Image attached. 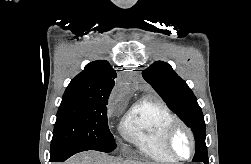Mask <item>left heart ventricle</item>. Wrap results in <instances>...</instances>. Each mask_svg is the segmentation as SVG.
Returning a JSON list of instances; mask_svg holds the SVG:
<instances>
[{"label": "left heart ventricle", "mask_w": 251, "mask_h": 164, "mask_svg": "<svg viewBox=\"0 0 251 164\" xmlns=\"http://www.w3.org/2000/svg\"><path fill=\"white\" fill-rule=\"evenodd\" d=\"M171 148L175 155L179 157H187L191 151V143L188 135L183 130H178L172 141Z\"/></svg>", "instance_id": "obj_1"}]
</instances>
